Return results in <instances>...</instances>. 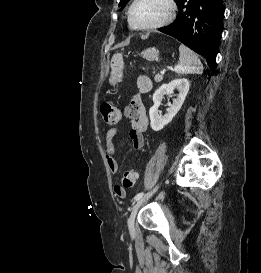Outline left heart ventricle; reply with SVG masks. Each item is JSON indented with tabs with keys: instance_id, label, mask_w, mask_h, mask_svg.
I'll return each mask as SVG.
<instances>
[{
	"instance_id": "b2bd125f",
	"label": "left heart ventricle",
	"mask_w": 261,
	"mask_h": 273,
	"mask_svg": "<svg viewBox=\"0 0 261 273\" xmlns=\"http://www.w3.org/2000/svg\"><path fill=\"white\" fill-rule=\"evenodd\" d=\"M167 12L164 0H139L135 5L132 18L137 26H146L160 21Z\"/></svg>"
}]
</instances>
